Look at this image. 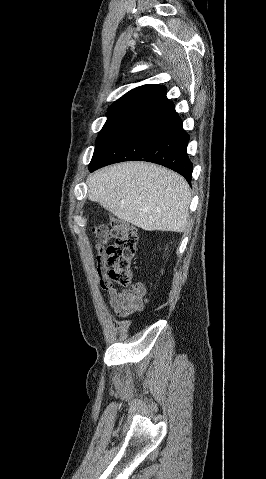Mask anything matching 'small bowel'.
Masks as SVG:
<instances>
[{"label": "small bowel", "instance_id": "obj_1", "mask_svg": "<svg viewBox=\"0 0 266 479\" xmlns=\"http://www.w3.org/2000/svg\"><path fill=\"white\" fill-rule=\"evenodd\" d=\"M98 266L101 273V285L107 290L109 305L114 314L126 318L144 308L146 289L143 283L135 282L127 290L117 289L104 276V261L100 257H98Z\"/></svg>", "mask_w": 266, "mask_h": 479}]
</instances>
